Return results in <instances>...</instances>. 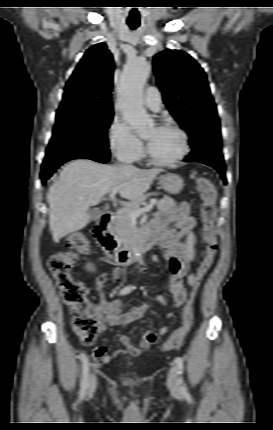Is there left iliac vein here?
I'll use <instances>...</instances> for the list:
<instances>
[{"mask_svg":"<svg viewBox=\"0 0 273 430\" xmlns=\"http://www.w3.org/2000/svg\"><path fill=\"white\" fill-rule=\"evenodd\" d=\"M167 384L171 390H177L178 388L177 368L175 366L168 373Z\"/></svg>","mask_w":273,"mask_h":430,"instance_id":"4c4485c4","label":"left iliac vein"}]
</instances>
